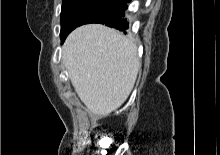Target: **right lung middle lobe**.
<instances>
[{"instance_id": "1", "label": "right lung middle lobe", "mask_w": 220, "mask_h": 155, "mask_svg": "<svg viewBox=\"0 0 220 155\" xmlns=\"http://www.w3.org/2000/svg\"><path fill=\"white\" fill-rule=\"evenodd\" d=\"M123 3V0H63L61 9L62 42L76 27Z\"/></svg>"}]
</instances>
